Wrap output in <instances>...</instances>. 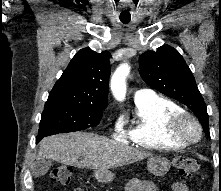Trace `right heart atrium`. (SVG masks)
Instances as JSON below:
<instances>
[{
  "instance_id": "obj_1",
  "label": "right heart atrium",
  "mask_w": 221,
  "mask_h": 191,
  "mask_svg": "<svg viewBox=\"0 0 221 191\" xmlns=\"http://www.w3.org/2000/svg\"><path fill=\"white\" fill-rule=\"evenodd\" d=\"M114 136L117 138H123L125 136L123 125L120 119L115 122L114 125Z\"/></svg>"
}]
</instances>
